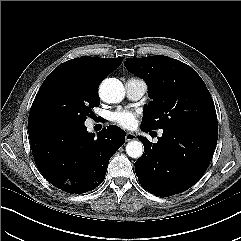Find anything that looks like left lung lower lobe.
<instances>
[{
    "instance_id": "1",
    "label": "left lung lower lobe",
    "mask_w": 241,
    "mask_h": 241,
    "mask_svg": "<svg viewBox=\"0 0 241 241\" xmlns=\"http://www.w3.org/2000/svg\"><path fill=\"white\" fill-rule=\"evenodd\" d=\"M217 138L218 132L185 127L163 129L153 145L139 137L145 151L135 162L139 182L148 192L163 197L189 189L205 173Z\"/></svg>"
}]
</instances>
